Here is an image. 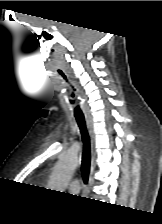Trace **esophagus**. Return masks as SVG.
<instances>
[{
  "label": "esophagus",
  "instance_id": "1",
  "mask_svg": "<svg viewBox=\"0 0 162 224\" xmlns=\"http://www.w3.org/2000/svg\"><path fill=\"white\" fill-rule=\"evenodd\" d=\"M87 125L89 129V134L91 138V172H93L94 167H95V158H96V152H95V132H94V127H93V120L91 118H87Z\"/></svg>",
  "mask_w": 162,
  "mask_h": 224
}]
</instances>
